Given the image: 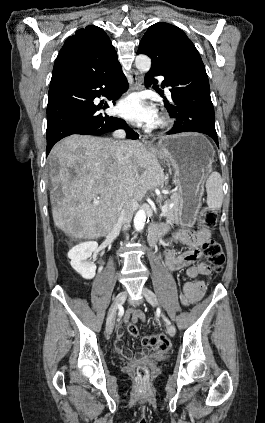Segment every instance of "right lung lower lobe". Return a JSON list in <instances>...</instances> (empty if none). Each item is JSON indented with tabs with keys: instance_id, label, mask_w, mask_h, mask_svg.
I'll list each match as a JSON object with an SVG mask.
<instances>
[{
	"instance_id": "1",
	"label": "right lung lower lobe",
	"mask_w": 265,
	"mask_h": 423,
	"mask_svg": "<svg viewBox=\"0 0 265 423\" xmlns=\"http://www.w3.org/2000/svg\"><path fill=\"white\" fill-rule=\"evenodd\" d=\"M127 89V79L121 68L105 75H92L50 86L46 156L56 142L72 134L101 135L124 128L127 138L138 139V134L125 121L99 113L108 105L96 106L93 102L104 91L114 102Z\"/></svg>"
}]
</instances>
